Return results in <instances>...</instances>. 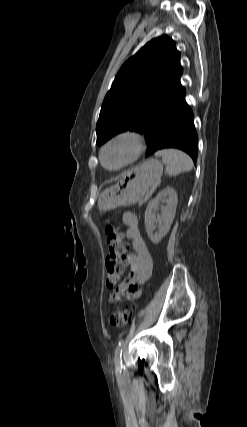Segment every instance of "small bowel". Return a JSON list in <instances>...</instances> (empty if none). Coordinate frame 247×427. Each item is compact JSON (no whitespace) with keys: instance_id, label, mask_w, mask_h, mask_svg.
Instances as JSON below:
<instances>
[{"instance_id":"obj_1","label":"small bowel","mask_w":247,"mask_h":427,"mask_svg":"<svg viewBox=\"0 0 247 427\" xmlns=\"http://www.w3.org/2000/svg\"><path fill=\"white\" fill-rule=\"evenodd\" d=\"M123 223L126 238L133 248V253L128 256L130 275L115 288L110 297L111 302L137 299L141 294L140 286L148 281L153 270V260L141 236L137 216L125 213Z\"/></svg>"}]
</instances>
